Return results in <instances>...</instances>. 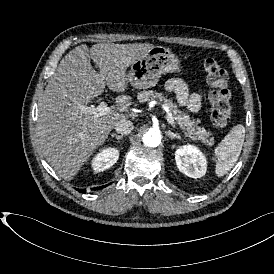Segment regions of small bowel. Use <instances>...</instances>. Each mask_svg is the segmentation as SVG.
<instances>
[{
	"instance_id": "1",
	"label": "small bowel",
	"mask_w": 274,
	"mask_h": 274,
	"mask_svg": "<svg viewBox=\"0 0 274 274\" xmlns=\"http://www.w3.org/2000/svg\"><path fill=\"white\" fill-rule=\"evenodd\" d=\"M166 90L175 95L177 101L187 107L190 111L196 112L201 105L200 96L190 93L186 83L180 78H172L166 82Z\"/></svg>"
}]
</instances>
